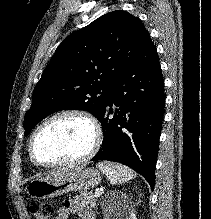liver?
Here are the masks:
<instances>
[{
	"mask_svg": "<svg viewBox=\"0 0 211 219\" xmlns=\"http://www.w3.org/2000/svg\"><path fill=\"white\" fill-rule=\"evenodd\" d=\"M66 172V170H64V171H61V170H58V171H53V172H51V173H49L48 175H46L44 178H42V179H49V178H51V177H53V176H59V175H62V174H64Z\"/></svg>",
	"mask_w": 211,
	"mask_h": 219,
	"instance_id": "obj_1",
	"label": "liver"
}]
</instances>
